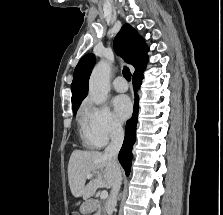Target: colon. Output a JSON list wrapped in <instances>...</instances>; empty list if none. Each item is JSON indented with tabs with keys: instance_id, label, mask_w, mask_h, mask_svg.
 I'll list each match as a JSON object with an SVG mask.
<instances>
[{
	"instance_id": "5ec220e1",
	"label": "colon",
	"mask_w": 223,
	"mask_h": 215,
	"mask_svg": "<svg viewBox=\"0 0 223 215\" xmlns=\"http://www.w3.org/2000/svg\"><path fill=\"white\" fill-rule=\"evenodd\" d=\"M69 215H79V213H77V212H72V213H70Z\"/></svg>"
}]
</instances>
